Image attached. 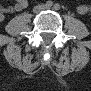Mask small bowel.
<instances>
[{
    "instance_id": "1",
    "label": "small bowel",
    "mask_w": 91,
    "mask_h": 91,
    "mask_svg": "<svg viewBox=\"0 0 91 91\" xmlns=\"http://www.w3.org/2000/svg\"><path fill=\"white\" fill-rule=\"evenodd\" d=\"M28 5V2L27 0H17L14 5L12 6H8L4 9V11L6 13H10V12H13V11H20V10H23L27 7ZM88 10V6L86 4H82L80 6H78L77 8V12L79 14H85Z\"/></svg>"
}]
</instances>
